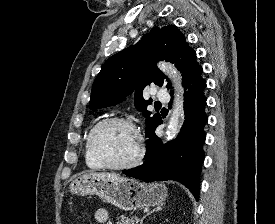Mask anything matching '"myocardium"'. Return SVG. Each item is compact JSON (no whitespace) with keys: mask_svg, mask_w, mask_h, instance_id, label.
<instances>
[{"mask_svg":"<svg viewBox=\"0 0 275 224\" xmlns=\"http://www.w3.org/2000/svg\"><path fill=\"white\" fill-rule=\"evenodd\" d=\"M110 123L124 124V125L128 126L135 134V137L137 140V152H136L135 156L130 161H128L126 163H122V164L110 163L99 153V151L96 148L95 141H96V135H97L98 131L103 126L110 124ZM88 146H89L91 154L98 161V163L102 167L107 168V169H112V170H126L129 168L135 167L142 161V159L144 157V153H145L144 141H143V137H142L140 130L138 129V127L136 126V124L134 122H132L128 118H125L122 116H108V117H105V118L101 119L100 121H98L92 127V129L90 130V132L88 134Z\"/></svg>","mask_w":275,"mask_h":224,"instance_id":"f54148a6","label":"myocardium"}]
</instances>
